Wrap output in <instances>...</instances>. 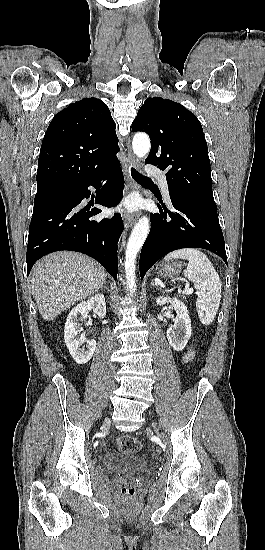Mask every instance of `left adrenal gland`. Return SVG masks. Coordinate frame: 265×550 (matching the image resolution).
<instances>
[{
  "label": "left adrenal gland",
  "instance_id": "left-adrenal-gland-1",
  "mask_svg": "<svg viewBox=\"0 0 265 550\" xmlns=\"http://www.w3.org/2000/svg\"><path fill=\"white\" fill-rule=\"evenodd\" d=\"M154 286H155V287H158V285L154 282V280H152L151 285H150V288H152V287H154Z\"/></svg>",
  "mask_w": 265,
  "mask_h": 550
}]
</instances>
